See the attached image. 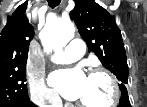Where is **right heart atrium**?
Returning <instances> with one entry per match:
<instances>
[{
	"mask_svg": "<svg viewBox=\"0 0 147 107\" xmlns=\"http://www.w3.org/2000/svg\"><path fill=\"white\" fill-rule=\"evenodd\" d=\"M29 92L32 101L40 106H55L59 99L57 94L48 88L39 73H32L29 79Z\"/></svg>",
	"mask_w": 147,
	"mask_h": 107,
	"instance_id": "obj_1",
	"label": "right heart atrium"
}]
</instances>
